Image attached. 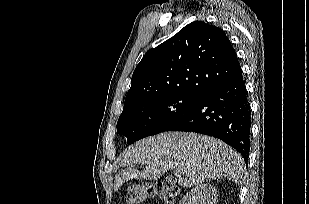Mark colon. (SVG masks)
Masks as SVG:
<instances>
[{
  "mask_svg": "<svg viewBox=\"0 0 309 204\" xmlns=\"http://www.w3.org/2000/svg\"><path fill=\"white\" fill-rule=\"evenodd\" d=\"M177 188L163 181L143 182L127 188L125 193L126 204H142L147 200L158 197L168 204H172L177 196Z\"/></svg>",
  "mask_w": 309,
  "mask_h": 204,
  "instance_id": "1",
  "label": "colon"
}]
</instances>
